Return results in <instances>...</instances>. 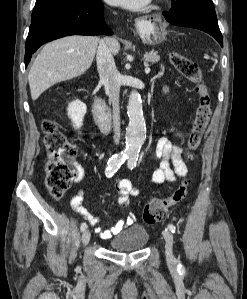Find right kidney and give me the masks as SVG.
Listing matches in <instances>:
<instances>
[{
	"instance_id": "obj_1",
	"label": "right kidney",
	"mask_w": 247,
	"mask_h": 299,
	"mask_svg": "<svg viewBox=\"0 0 247 299\" xmlns=\"http://www.w3.org/2000/svg\"><path fill=\"white\" fill-rule=\"evenodd\" d=\"M68 117L73 123L75 129H80L83 125V119L86 114V105L80 100H74L69 103L68 108Z\"/></svg>"
}]
</instances>
